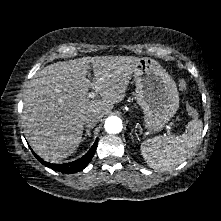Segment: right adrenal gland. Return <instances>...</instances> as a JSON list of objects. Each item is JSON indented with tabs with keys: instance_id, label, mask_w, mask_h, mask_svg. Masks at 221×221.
Here are the masks:
<instances>
[{
	"instance_id": "obj_1",
	"label": "right adrenal gland",
	"mask_w": 221,
	"mask_h": 221,
	"mask_svg": "<svg viewBox=\"0 0 221 221\" xmlns=\"http://www.w3.org/2000/svg\"><path fill=\"white\" fill-rule=\"evenodd\" d=\"M90 130H91V128H87V129H86V131H85V135H84V137H83L82 140H85L87 137H90V136H91V134H90Z\"/></svg>"
}]
</instances>
